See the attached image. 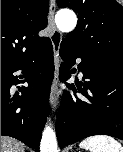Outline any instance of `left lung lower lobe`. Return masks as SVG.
I'll list each match as a JSON object with an SVG mask.
<instances>
[{
    "label": "left lung lower lobe",
    "mask_w": 123,
    "mask_h": 152,
    "mask_svg": "<svg viewBox=\"0 0 123 152\" xmlns=\"http://www.w3.org/2000/svg\"><path fill=\"white\" fill-rule=\"evenodd\" d=\"M60 80L70 78L67 70L81 58L79 69L83 80L77 89L84 100L65 91L57 117L56 134L60 148L93 135H109L123 140V69L103 65L82 56L62 41ZM67 86L77 92L73 84Z\"/></svg>",
    "instance_id": "1"
}]
</instances>
